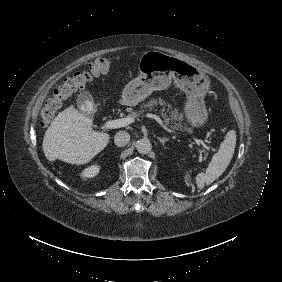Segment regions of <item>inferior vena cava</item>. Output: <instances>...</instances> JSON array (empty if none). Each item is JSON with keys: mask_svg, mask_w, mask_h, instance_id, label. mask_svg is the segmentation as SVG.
<instances>
[{"mask_svg": "<svg viewBox=\"0 0 282 282\" xmlns=\"http://www.w3.org/2000/svg\"><path fill=\"white\" fill-rule=\"evenodd\" d=\"M129 140H130V135L126 131H119L115 134V137H114L115 145L118 147H123L127 145Z\"/></svg>", "mask_w": 282, "mask_h": 282, "instance_id": "inferior-vena-cava-1", "label": "inferior vena cava"}]
</instances>
